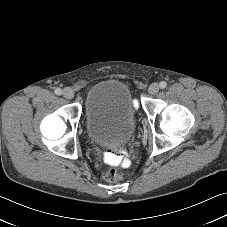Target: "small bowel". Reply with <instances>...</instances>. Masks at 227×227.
Returning <instances> with one entry per match:
<instances>
[{"instance_id":"1","label":"small bowel","mask_w":227,"mask_h":227,"mask_svg":"<svg viewBox=\"0 0 227 227\" xmlns=\"http://www.w3.org/2000/svg\"><path fill=\"white\" fill-rule=\"evenodd\" d=\"M120 162H121V161H120ZM120 162H119V163H120ZM127 163H128L127 161H124V164H127ZM117 164H118V163H117Z\"/></svg>"}]
</instances>
